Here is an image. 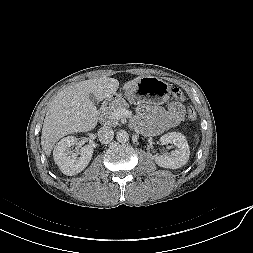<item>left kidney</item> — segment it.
<instances>
[{
  "label": "left kidney",
  "mask_w": 253,
  "mask_h": 253,
  "mask_svg": "<svg viewBox=\"0 0 253 253\" xmlns=\"http://www.w3.org/2000/svg\"><path fill=\"white\" fill-rule=\"evenodd\" d=\"M162 144H174L177 149L171 155H157L155 162L163 168L177 169L184 166L189 159L190 150L184 135L179 132L167 133L160 138Z\"/></svg>",
  "instance_id": "1"
}]
</instances>
